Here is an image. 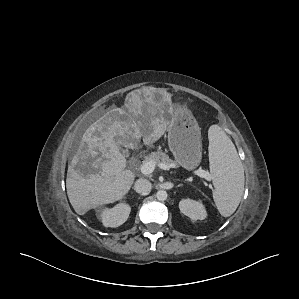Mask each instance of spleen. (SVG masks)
<instances>
[{
  "mask_svg": "<svg viewBox=\"0 0 299 299\" xmlns=\"http://www.w3.org/2000/svg\"><path fill=\"white\" fill-rule=\"evenodd\" d=\"M209 163L214 185L213 199L218 211L229 217L237 209L244 192V170L237 150L218 125L210 126Z\"/></svg>",
  "mask_w": 299,
  "mask_h": 299,
  "instance_id": "3e777b00",
  "label": "spleen"
}]
</instances>
